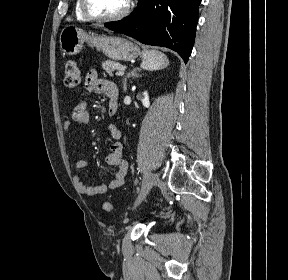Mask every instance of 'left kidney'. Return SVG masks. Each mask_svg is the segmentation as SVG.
I'll return each instance as SVG.
<instances>
[{
  "instance_id": "1",
  "label": "left kidney",
  "mask_w": 288,
  "mask_h": 280,
  "mask_svg": "<svg viewBox=\"0 0 288 280\" xmlns=\"http://www.w3.org/2000/svg\"><path fill=\"white\" fill-rule=\"evenodd\" d=\"M142 103L144 107L149 108L150 101H149V96H148L147 91L143 92Z\"/></svg>"
}]
</instances>
